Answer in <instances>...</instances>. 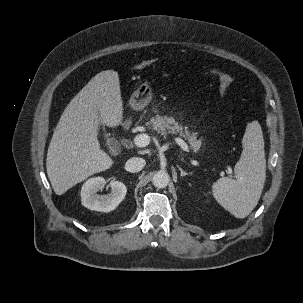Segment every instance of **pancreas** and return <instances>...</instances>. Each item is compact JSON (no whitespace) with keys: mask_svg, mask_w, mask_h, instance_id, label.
Listing matches in <instances>:
<instances>
[{"mask_svg":"<svg viewBox=\"0 0 303 303\" xmlns=\"http://www.w3.org/2000/svg\"><path fill=\"white\" fill-rule=\"evenodd\" d=\"M147 126L149 129L155 130L164 136L167 134H174L184 137L188 140L194 151H198L202 144V140L198 139L197 133L190 132L187 126L183 127L181 124L176 122L173 117L156 115L150 119Z\"/></svg>","mask_w":303,"mask_h":303,"instance_id":"obj_1","label":"pancreas"}]
</instances>
